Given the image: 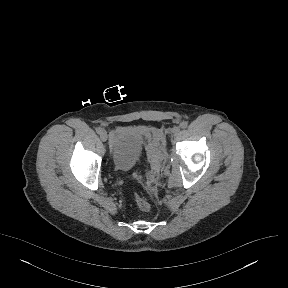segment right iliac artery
Here are the masks:
<instances>
[{
	"label": "right iliac artery",
	"mask_w": 288,
	"mask_h": 288,
	"mask_svg": "<svg viewBox=\"0 0 288 288\" xmlns=\"http://www.w3.org/2000/svg\"><path fill=\"white\" fill-rule=\"evenodd\" d=\"M96 132L98 134H101L103 132V129L101 127L96 128Z\"/></svg>",
	"instance_id": "82829eb1"
}]
</instances>
